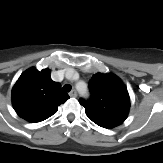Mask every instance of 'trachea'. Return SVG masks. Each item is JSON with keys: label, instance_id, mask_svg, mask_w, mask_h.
Here are the masks:
<instances>
[{"label": "trachea", "instance_id": "trachea-1", "mask_svg": "<svg viewBox=\"0 0 163 163\" xmlns=\"http://www.w3.org/2000/svg\"><path fill=\"white\" fill-rule=\"evenodd\" d=\"M71 89H72V87H71V85H69V84H65V85L63 86V91L70 92Z\"/></svg>", "mask_w": 163, "mask_h": 163}]
</instances>
